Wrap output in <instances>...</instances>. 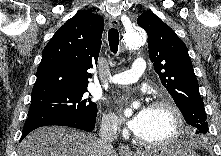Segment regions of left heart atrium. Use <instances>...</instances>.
I'll use <instances>...</instances> for the list:
<instances>
[{"mask_svg":"<svg viewBox=\"0 0 221 156\" xmlns=\"http://www.w3.org/2000/svg\"><path fill=\"white\" fill-rule=\"evenodd\" d=\"M126 99H121L118 101L119 105L125 104ZM151 112V107L143 106L137 110L132 117L127 120L128 127L134 132L138 133L145 126Z\"/></svg>","mask_w":221,"mask_h":156,"instance_id":"39dd6f15","label":"left heart atrium"}]
</instances>
